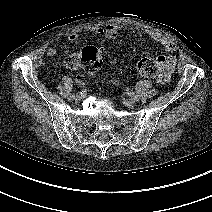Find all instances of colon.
Returning <instances> with one entry per match:
<instances>
[{"label":"colon","mask_w":212,"mask_h":212,"mask_svg":"<svg viewBox=\"0 0 212 212\" xmlns=\"http://www.w3.org/2000/svg\"><path fill=\"white\" fill-rule=\"evenodd\" d=\"M101 52L96 47H87L81 54L69 56L65 64L70 70H85L88 73L96 72L101 65ZM164 61L159 56L157 58L143 57L136 62L134 72L147 78H157L162 76Z\"/></svg>","instance_id":"colon-1"}]
</instances>
